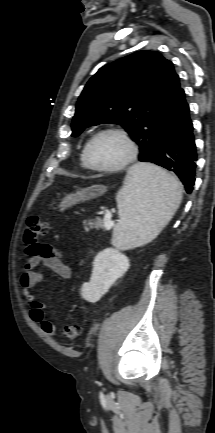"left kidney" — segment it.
I'll return each instance as SVG.
<instances>
[{
  "label": "left kidney",
  "mask_w": 215,
  "mask_h": 433,
  "mask_svg": "<svg viewBox=\"0 0 215 433\" xmlns=\"http://www.w3.org/2000/svg\"><path fill=\"white\" fill-rule=\"evenodd\" d=\"M129 266V259L116 249L106 248L99 252L93 261L90 281L82 285L83 299L91 303L99 301Z\"/></svg>",
  "instance_id": "1"
}]
</instances>
